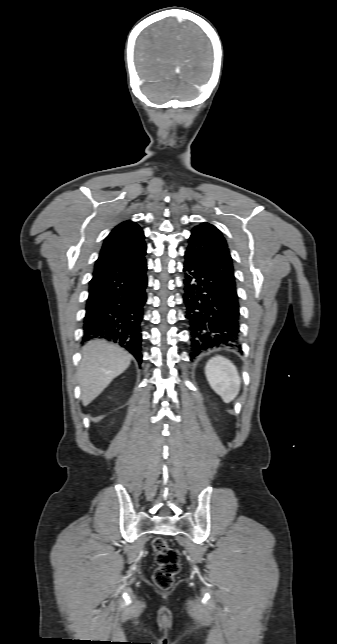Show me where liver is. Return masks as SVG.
<instances>
[{
  "label": "liver",
  "instance_id": "1",
  "mask_svg": "<svg viewBox=\"0 0 337 644\" xmlns=\"http://www.w3.org/2000/svg\"><path fill=\"white\" fill-rule=\"evenodd\" d=\"M132 356L120 346L103 340H93L82 348L78 371L81 400L89 405L130 365Z\"/></svg>",
  "mask_w": 337,
  "mask_h": 644
}]
</instances>
